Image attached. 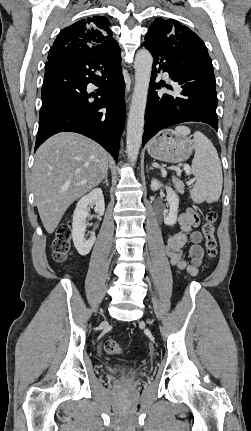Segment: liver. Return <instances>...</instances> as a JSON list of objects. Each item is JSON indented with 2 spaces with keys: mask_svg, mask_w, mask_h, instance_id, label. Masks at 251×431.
<instances>
[{
  "mask_svg": "<svg viewBox=\"0 0 251 431\" xmlns=\"http://www.w3.org/2000/svg\"><path fill=\"white\" fill-rule=\"evenodd\" d=\"M109 154L77 133H59L36 152L33 189L45 230L52 234L67 208L98 186L108 171Z\"/></svg>",
  "mask_w": 251,
  "mask_h": 431,
  "instance_id": "obj_1",
  "label": "liver"
}]
</instances>
